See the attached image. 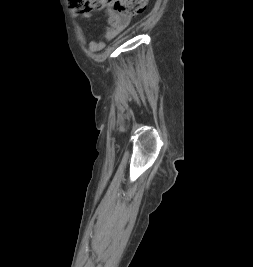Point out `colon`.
<instances>
[{
	"mask_svg": "<svg viewBox=\"0 0 253 267\" xmlns=\"http://www.w3.org/2000/svg\"><path fill=\"white\" fill-rule=\"evenodd\" d=\"M147 0H68L69 8L79 12H92L104 7H113L116 11L137 15L144 11Z\"/></svg>",
	"mask_w": 253,
	"mask_h": 267,
	"instance_id": "1",
	"label": "colon"
}]
</instances>
